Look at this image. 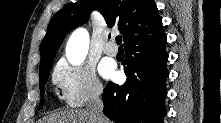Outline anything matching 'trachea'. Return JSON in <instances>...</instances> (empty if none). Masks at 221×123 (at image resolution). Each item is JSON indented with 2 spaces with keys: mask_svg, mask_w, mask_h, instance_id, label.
<instances>
[{
  "mask_svg": "<svg viewBox=\"0 0 221 123\" xmlns=\"http://www.w3.org/2000/svg\"><path fill=\"white\" fill-rule=\"evenodd\" d=\"M116 42H117V44L120 45V47H121L122 36H117V37H116Z\"/></svg>",
  "mask_w": 221,
  "mask_h": 123,
  "instance_id": "1",
  "label": "trachea"
}]
</instances>
